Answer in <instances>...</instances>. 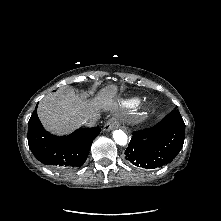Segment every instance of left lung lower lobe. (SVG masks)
<instances>
[{
  "instance_id": "0a47b994",
  "label": "left lung lower lobe",
  "mask_w": 221,
  "mask_h": 221,
  "mask_svg": "<svg viewBox=\"0 0 221 221\" xmlns=\"http://www.w3.org/2000/svg\"><path fill=\"white\" fill-rule=\"evenodd\" d=\"M185 124L179 111L170 112L156 126L134 131L125 151L134 165L155 169L171 162L184 143Z\"/></svg>"
}]
</instances>
